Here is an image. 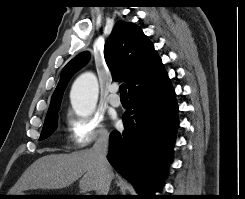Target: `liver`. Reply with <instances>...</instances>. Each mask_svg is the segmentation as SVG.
I'll return each instance as SVG.
<instances>
[{
    "mask_svg": "<svg viewBox=\"0 0 245 199\" xmlns=\"http://www.w3.org/2000/svg\"><path fill=\"white\" fill-rule=\"evenodd\" d=\"M112 172V178H113ZM82 191L101 189V175L92 149L70 154H50L36 160L22 175L12 193L29 189H61L76 180Z\"/></svg>",
    "mask_w": 245,
    "mask_h": 199,
    "instance_id": "liver-1",
    "label": "liver"
}]
</instances>
